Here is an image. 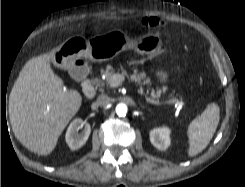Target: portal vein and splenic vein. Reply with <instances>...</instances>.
<instances>
[{"instance_id":"portal-vein-and-splenic-vein-1","label":"portal vein and splenic vein","mask_w":245,"mask_h":187,"mask_svg":"<svg viewBox=\"0 0 245 187\" xmlns=\"http://www.w3.org/2000/svg\"><path fill=\"white\" fill-rule=\"evenodd\" d=\"M125 80V77L124 75L122 74H114L112 76V80H111V86L112 87H118L119 85L122 84V82ZM142 93V91H141ZM144 98L147 102L151 103V104H154V105H160L159 102L151 99L150 97L144 95ZM167 104H175V105H180V106H183L185 105V103L181 100H178V99H172L170 101L167 102Z\"/></svg>"}]
</instances>
